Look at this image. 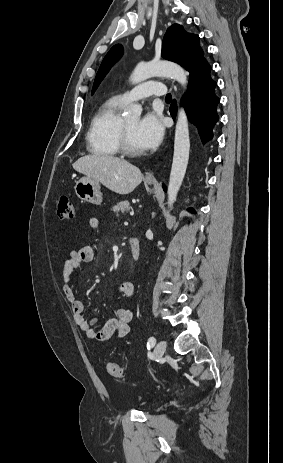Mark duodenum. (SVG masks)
<instances>
[{"label":"duodenum","mask_w":283,"mask_h":463,"mask_svg":"<svg viewBox=\"0 0 283 463\" xmlns=\"http://www.w3.org/2000/svg\"><path fill=\"white\" fill-rule=\"evenodd\" d=\"M130 250H131V258L133 262H137L140 257V242L138 238L131 237L130 241Z\"/></svg>","instance_id":"obj_1"}]
</instances>
